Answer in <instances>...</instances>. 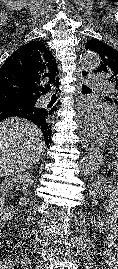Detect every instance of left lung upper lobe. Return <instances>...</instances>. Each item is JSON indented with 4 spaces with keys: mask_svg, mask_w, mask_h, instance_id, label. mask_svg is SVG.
<instances>
[{
    "mask_svg": "<svg viewBox=\"0 0 118 269\" xmlns=\"http://www.w3.org/2000/svg\"><path fill=\"white\" fill-rule=\"evenodd\" d=\"M85 48L97 52L101 57L102 62L97 68V72L106 73L109 82L114 86L112 93L114 98L106 97L105 99L118 104V51L97 39L88 41Z\"/></svg>",
    "mask_w": 118,
    "mask_h": 269,
    "instance_id": "left-lung-upper-lobe-1",
    "label": "left lung upper lobe"
}]
</instances>
